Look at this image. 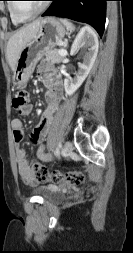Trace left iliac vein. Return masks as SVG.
<instances>
[{"mask_svg":"<svg viewBox=\"0 0 133 253\" xmlns=\"http://www.w3.org/2000/svg\"><path fill=\"white\" fill-rule=\"evenodd\" d=\"M72 150V143L70 141H66L63 146V152L65 154L69 153Z\"/></svg>","mask_w":133,"mask_h":253,"instance_id":"1","label":"left iliac vein"}]
</instances>
